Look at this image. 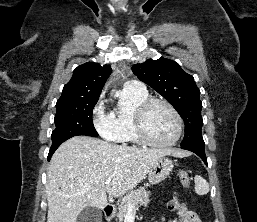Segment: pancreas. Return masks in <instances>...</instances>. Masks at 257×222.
Masks as SVG:
<instances>
[{"label":"pancreas","mask_w":257,"mask_h":222,"mask_svg":"<svg viewBox=\"0 0 257 222\" xmlns=\"http://www.w3.org/2000/svg\"><path fill=\"white\" fill-rule=\"evenodd\" d=\"M149 195L150 192L147 191L144 187H140L129 192L126 196H124L118 205V213L117 217L119 222H122L126 213L128 212V205L131 204L133 206H147L149 203Z\"/></svg>","instance_id":"obj_1"}]
</instances>
